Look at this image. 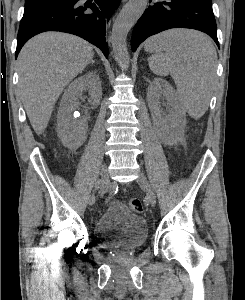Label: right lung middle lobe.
Masks as SVG:
<instances>
[{"mask_svg": "<svg viewBox=\"0 0 245 300\" xmlns=\"http://www.w3.org/2000/svg\"><path fill=\"white\" fill-rule=\"evenodd\" d=\"M58 1H62V0H34V1H29V2H25V9L24 12L39 8V7H43Z\"/></svg>", "mask_w": 245, "mask_h": 300, "instance_id": "obj_1", "label": "right lung middle lobe"}]
</instances>
